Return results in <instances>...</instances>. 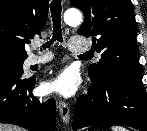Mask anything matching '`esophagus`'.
<instances>
[{"label": "esophagus", "mask_w": 147, "mask_h": 131, "mask_svg": "<svg viewBox=\"0 0 147 131\" xmlns=\"http://www.w3.org/2000/svg\"><path fill=\"white\" fill-rule=\"evenodd\" d=\"M58 107L61 119L64 124H67L70 119V108L67 102L62 100L61 98L58 99Z\"/></svg>", "instance_id": "1"}]
</instances>
